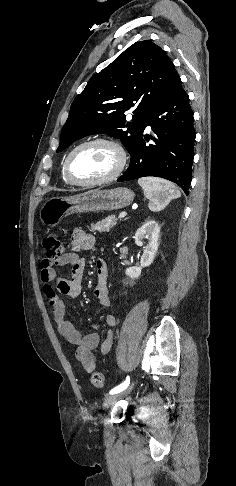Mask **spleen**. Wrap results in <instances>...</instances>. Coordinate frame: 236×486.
I'll return each instance as SVG.
<instances>
[{
    "label": "spleen",
    "mask_w": 236,
    "mask_h": 486,
    "mask_svg": "<svg viewBox=\"0 0 236 486\" xmlns=\"http://www.w3.org/2000/svg\"><path fill=\"white\" fill-rule=\"evenodd\" d=\"M138 184L142 187L145 197L149 199V209L154 212L162 210L172 199L181 196L177 187L164 179L143 177L138 179Z\"/></svg>",
    "instance_id": "obj_1"
}]
</instances>
